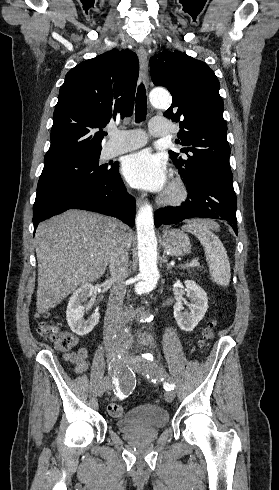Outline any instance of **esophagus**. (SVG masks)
<instances>
[{
  "mask_svg": "<svg viewBox=\"0 0 279 490\" xmlns=\"http://www.w3.org/2000/svg\"><path fill=\"white\" fill-rule=\"evenodd\" d=\"M137 55L139 58L140 70H141L143 82H144L145 86L148 88V86H149L148 54L142 45L139 46V48L137 50ZM144 203H145V200L143 198H137L136 199L137 207H141Z\"/></svg>",
  "mask_w": 279,
  "mask_h": 490,
  "instance_id": "1",
  "label": "esophagus"
}]
</instances>
